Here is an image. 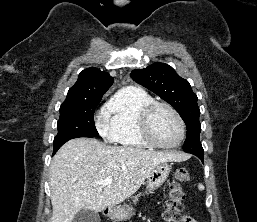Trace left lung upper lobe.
Masks as SVG:
<instances>
[{
	"label": "left lung upper lobe",
	"instance_id": "obj_1",
	"mask_svg": "<svg viewBox=\"0 0 257 222\" xmlns=\"http://www.w3.org/2000/svg\"><path fill=\"white\" fill-rule=\"evenodd\" d=\"M138 84L151 90L172 105L187 127L183 150L191 154H204L200 143V110L197 96L189 82L181 78L168 64L156 62L145 69H135L130 74Z\"/></svg>",
	"mask_w": 257,
	"mask_h": 222
}]
</instances>
